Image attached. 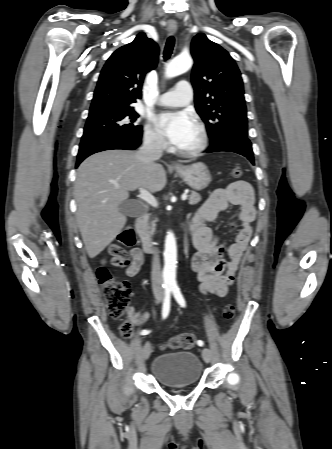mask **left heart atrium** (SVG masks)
<instances>
[{"instance_id":"obj_1","label":"left heart atrium","mask_w":332,"mask_h":449,"mask_svg":"<svg viewBox=\"0 0 332 449\" xmlns=\"http://www.w3.org/2000/svg\"><path fill=\"white\" fill-rule=\"evenodd\" d=\"M156 124L169 142L179 148L196 128L193 117L186 111L161 113Z\"/></svg>"}]
</instances>
